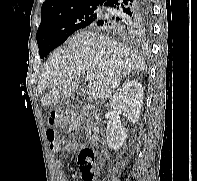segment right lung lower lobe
Segmentation results:
<instances>
[{
  "mask_svg": "<svg viewBox=\"0 0 197 181\" xmlns=\"http://www.w3.org/2000/svg\"><path fill=\"white\" fill-rule=\"evenodd\" d=\"M151 0H108L104 4L116 13L106 19L97 20L92 26L116 31L127 37L142 35L152 16Z\"/></svg>",
  "mask_w": 197,
  "mask_h": 181,
  "instance_id": "1",
  "label": "right lung lower lobe"
}]
</instances>
